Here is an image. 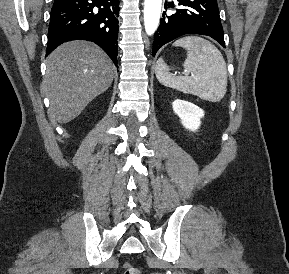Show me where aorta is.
Segmentation results:
<instances>
[{"label": "aorta", "instance_id": "aorta-1", "mask_svg": "<svg viewBox=\"0 0 289 274\" xmlns=\"http://www.w3.org/2000/svg\"><path fill=\"white\" fill-rule=\"evenodd\" d=\"M162 0H145L144 3V26L148 35L156 31L161 14Z\"/></svg>", "mask_w": 289, "mask_h": 274}]
</instances>
